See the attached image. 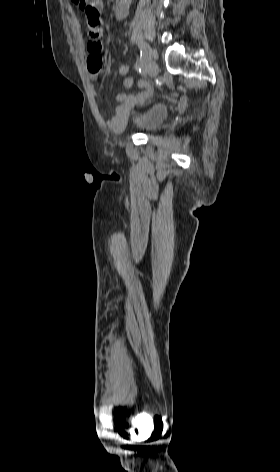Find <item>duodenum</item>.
Here are the masks:
<instances>
[{
  "label": "duodenum",
  "instance_id": "obj_1",
  "mask_svg": "<svg viewBox=\"0 0 280 472\" xmlns=\"http://www.w3.org/2000/svg\"><path fill=\"white\" fill-rule=\"evenodd\" d=\"M127 15V10L123 6H117L115 10V17L118 20H122L126 17Z\"/></svg>",
  "mask_w": 280,
  "mask_h": 472
}]
</instances>
